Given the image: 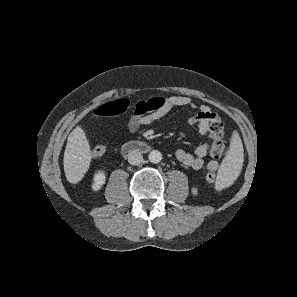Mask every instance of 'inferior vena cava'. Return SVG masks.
<instances>
[{"mask_svg": "<svg viewBox=\"0 0 297 297\" xmlns=\"http://www.w3.org/2000/svg\"><path fill=\"white\" fill-rule=\"evenodd\" d=\"M143 161V156L137 150H133L128 154V162L131 165H139Z\"/></svg>", "mask_w": 297, "mask_h": 297, "instance_id": "1", "label": "inferior vena cava"}]
</instances>
